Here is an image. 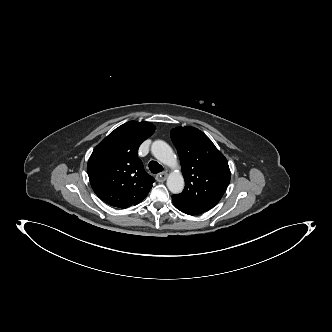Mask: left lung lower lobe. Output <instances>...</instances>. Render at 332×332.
Wrapping results in <instances>:
<instances>
[{
    "instance_id": "obj_1",
    "label": "left lung lower lobe",
    "mask_w": 332,
    "mask_h": 332,
    "mask_svg": "<svg viewBox=\"0 0 332 332\" xmlns=\"http://www.w3.org/2000/svg\"><path fill=\"white\" fill-rule=\"evenodd\" d=\"M172 201H173L174 206L178 210H180L181 212H183L185 214H188V215H198V214L203 213V211L191 208V207L185 205L184 203L176 200L173 196H172Z\"/></svg>"
}]
</instances>
